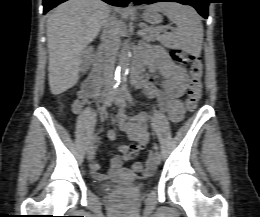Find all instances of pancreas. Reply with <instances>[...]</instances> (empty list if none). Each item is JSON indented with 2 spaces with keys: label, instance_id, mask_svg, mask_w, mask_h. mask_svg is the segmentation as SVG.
I'll list each match as a JSON object with an SVG mask.
<instances>
[{
  "label": "pancreas",
  "instance_id": "pancreas-1",
  "mask_svg": "<svg viewBox=\"0 0 260 217\" xmlns=\"http://www.w3.org/2000/svg\"><path fill=\"white\" fill-rule=\"evenodd\" d=\"M142 38L145 41L154 42L155 40L159 39V35H158L157 31L151 30L148 33H146L145 35H142Z\"/></svg>",
  "mask_w": 260,
  "mask_h": 217
}]
</instances>
